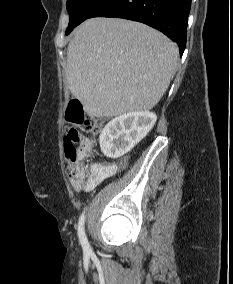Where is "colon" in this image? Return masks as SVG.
I'll return each mask as SVG.
<instances>
[{
	"label": "colon",
	"mask_w": 233,
	"mask_h": 284,
	"mask_svg": "<svg viewBox=\"0 0 233 284\" xmlns=\"http://www.w3.org/2000/svg\"><path fill=\"white\" fill-rule=\"evenodd\" d=\"M66 118L75 126L64 138L65 156L69 161L68 177L75 190L89 189L87 170L82 160L91 150V139L88 135L97 134L101 126L78 99L69 102Z\"/></svg>",
	"instance_id": "5ec220e1"
}]
</instances>
